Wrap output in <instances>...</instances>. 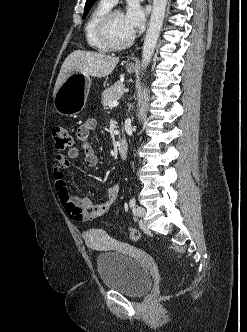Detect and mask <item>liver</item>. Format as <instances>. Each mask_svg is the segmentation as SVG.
Here are the masks:
<instances>
[{"label": "liver", "instance_id": "6515ba94", "mask_svg": "<svg viewBox=\"0 0 247 332\" xmlns=\"http://www.w3.org/2000/svg\"><path fill=\"white\" fill-rule=\"evenodd\" d=\"M118 62V57L103 53L83 50L73 51L62 64L55 83L53 96H55L61 84L73 72H83L89 76L102 78L110 75Z\"/></svg>", "mask_w": 247, "mask_h": 332}]
</instances>
